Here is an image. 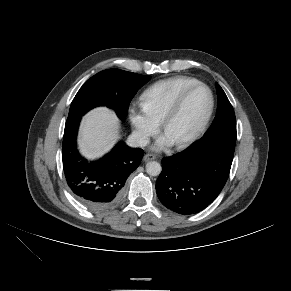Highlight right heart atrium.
<instances>
[{
	"label": "right heart atrium",
	"mask_w": 291,
	"mask_h": 291,
	"mask_svg": "<svg viewBox=\"0 0 291 291\" xmlns=\"http://www.w3.org/2000/svg\"><path fill=\"white\" fill-rule=\"evenodd\" d=\"M128 118L133 128L135 139L140 145H145L159 129V123L150 117L141 106H131Z\"/></svg>",
	"instance_id": "obj_1"
}]
</instances>
